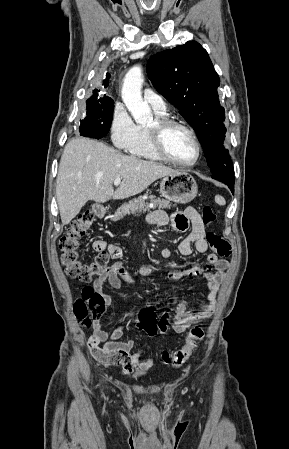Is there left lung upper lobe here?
Returning <instances> with one entry per match:
<instances>
[{
    "label": "left lung upper lobe",
    "mask_w": 289,
    "mask_h": 449,
    "mask_svg": "<svg viewBox=\"0 0 289 449\" xmlns=\"http://www.w3.org/2000/svg\"><path fill=\"white\" fill-rule=\"evenodd\" d=\"M147 74L156 90L197 133L212 178L233 181V163L223 145L226 128L217 92L220 79L207 51L199 43L188 41L152 56Z\"/></svg>",
    "instance_id": "left-lung-upper-lobe-1"
}]
</instances>
